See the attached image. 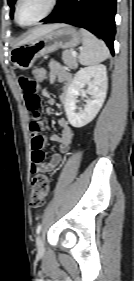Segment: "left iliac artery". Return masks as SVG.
Instances as JSON below:
<instances>
[{"mask_svg":"<svg viewBox=\"0 0 134 281\" xmlns=\"http://www.w3.org/2000/svg\"><path fill=\"white\" fill-rule=\"evenodd\" d=\"M41 228H42V225H41V224H39V225L37 226V229H36V233H37V234H39V233H40Z\"/></svg>","mask_w":134,"mask_h":281,"instance_id":"1","label":"left iliac artery"}]
</instances>
